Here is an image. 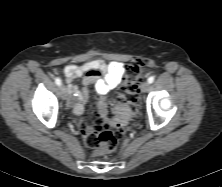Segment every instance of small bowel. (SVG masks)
<instances>
[{"label":"small bowel","mask_w":222,"mask_h":187,"mask_svg":"<svg viewBox=\"0 0 222 187\" xmlns=\"http://www.w3.org/2000/svg\"><path fill=\"white\" fill-rule=\"evenodd\" d=\"M63 72L71 95L70 103L73 105L74 113L80 115L84 111V103L89 96V86H95L99 95L98 107H103L109 92L120 84L124 65L117 61L106 62L102 59H94L84 64L66 65ZM81 76H83L82 88L79 89L72 84V81Z\"/></svg>","instance_id":"small-bowel-1"}]
</instances>
